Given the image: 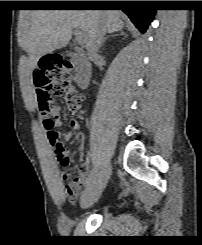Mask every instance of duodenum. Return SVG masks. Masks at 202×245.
Wrapping results in <instances>:
<instances>
[{
  "mask_svg": "<svg viewBox=\"0 0 202 245\" xmlns=\"http://www.w3.org/2000/svg\"><path fill=\"white\" fill-rule=\"evenodd\" d=\"M73 63L76 70V82L81 89H87L90 85L91 65L82 55L73 57Z\"/></svg>",
  "mask_w": 202,
  "mask_h": 245,
  "instance_id": "1",
  "label": "duodenum"
}]
</instances>
